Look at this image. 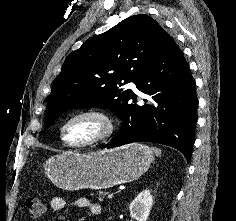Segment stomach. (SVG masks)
Wrapping results in <instances>:
<instances>
[{
    "mask_svg": "<svg viewBox=\"0 0 236 221\" xmlns=\"http://www.w3.org/2000/svg\"><path fill=\"white\" fill-rule=\"evenodd\" d=\"M153 158L148 146L132 143L85 154L63 152L49 158L44 167L48 178L60 189L100 190L138 179Z\"/></svg>",
    "mask_w": 236,
    "mask_h": 221,
    "instance_id": "0dacf381",
    "label": "stomach"
}]
</instances>
